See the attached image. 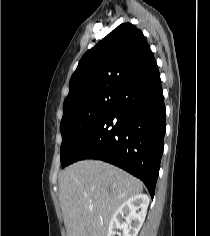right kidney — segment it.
Listing matches in <instances>:
<instances>
[{"label": "right kidney", "instance_id": "right-kidney-1", "mask_svg": "<svg viewBox=\"0 0 210 236\" xmlns=\"http://www.w3.org/2000/svg\"><path fill=\"white\" fill-rule=\"evenodd\" d=\"M150 199L138 194L125 201L113 214L107 236H116L123 230V236H137L147 213ZM123 219L126 223H123Z\"/></svg>", "mask_w": 210, "mask_h": 236}]
</instances>
